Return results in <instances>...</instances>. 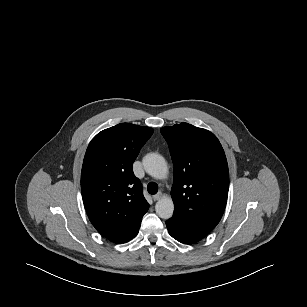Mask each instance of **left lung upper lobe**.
Instances as JSON below:
<instances>
[{
    "label": "left lung upper lobe",
    "mask_w": 307,
    "mask_h": 307,
    "mask_svg": "<svg viewBox=\"0 0 307 307\" xmlns=\"http://www.w3.org/2000/svg\"><path fill=\"white\" fill-rule=\"evenodd\" d=\"M174 164L172 219L205 237L227 202L229 171L224 150L210 131L182 122L161 128Z\"/></svg>",
    "instance_id": "5c2ea615"
}]
</instances>
